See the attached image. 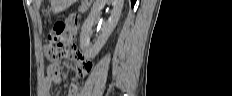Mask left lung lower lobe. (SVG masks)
<instances>
[{"label":"left lung lower lobe","mask_w":232,"mask_h":96,"mask_svg":"<svg viewBox=\"0 0 232 96\" xmlns=\"http://www.w3.org/2000/svg\"><path fill=\"white\" fill-rule=\"evenodd\" d=\"M135 2V0H131L132 6H134Z\"/></svg>","instance_id":"1"}]
</instances>
